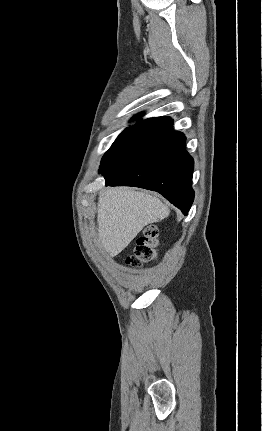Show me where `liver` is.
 <instances>
[{
    "mask_svg": "<svg viewBox=\"0 0 262 431\" xmlns=\"http://www.w3.org/2000/svg\"><path fill=\"white\" fill-rule=\"evenodd\" d=\"M169 214L170 209L147 192L123 187L109 188L98 199L97 224L101 245L114 257L145 226L161 221Z\"/></svg>",
    "mask_w": 262,
    "mask_h": 431,
    "instance_id": "1",
    "label": "liver"
}]
</instances>
